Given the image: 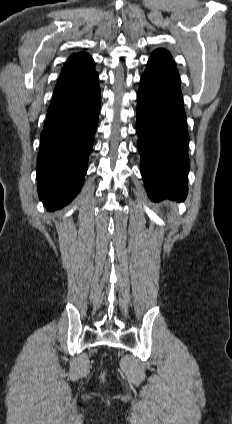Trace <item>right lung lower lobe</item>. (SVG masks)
<instances>
[{
  "label": "right lung lower lobe",
  "mask_w": 232,
  "mask_h": 424,
  "mask_svg": "<svg viewBox=\"0 0 232 424\" xmlns=\"http://www.w3.org/2000/svg\"><path fill=\"white\" fill-rule=\"evenodd\" d=\"M99 111L97 73L56 86L37 160L38 192L47 209L61 208L80 191Z\"/></svg>",
  "instance_id": "1"
}]
</instances>
